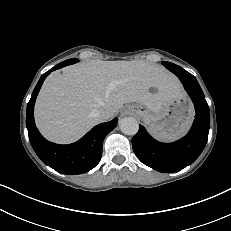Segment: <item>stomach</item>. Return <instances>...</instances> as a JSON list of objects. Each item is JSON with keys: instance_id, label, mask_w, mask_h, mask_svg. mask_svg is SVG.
Listing matches in <instances>:
<instances>
[{"instance_id": "stomach-1", "label": "stomach", "mask_w": 231, "mask_h": 231, "mask_svg": "<svg viewBox=\"0 0 231 231\" xmlns=\"http://www.w3.org/2000/svg\"><path fill=\"white\" fill-rule=\"evenodd\" d=\"M126 109L141 118L150 132L164 141L182 136L194 117L192 104L183 94L165 102L157 112L150 111L141 103L129 105Z\"/></svg>"}]
</instances>
